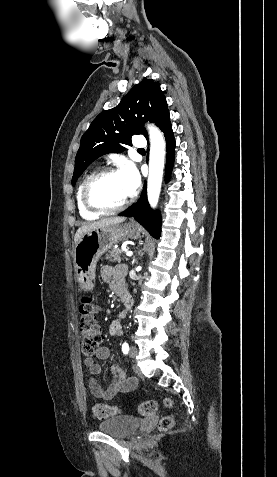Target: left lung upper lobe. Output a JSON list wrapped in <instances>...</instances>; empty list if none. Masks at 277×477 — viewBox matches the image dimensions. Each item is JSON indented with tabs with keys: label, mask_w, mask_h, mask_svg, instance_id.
Returning <instances> with one entry per match:
<instances>
[{
	"label": "left lung upper lobe",
	"mask_w": 277,
	"mask_h": 477,
	"mask_svg": "<svg viewBox=\"0 0 277 477\" xmlns=\"http://www.w3.org/2000/svg\"><path fill=\"white\" fill-rule=\"evenodd\" d=\"M154 122L160 129L170 121L168 105L158 82L143 80L134 86L119 105L100 113L81 138L72 177L74 186L85 169L98 157L121 152V145H131V137L143 134L145 121Z\"/></svg>",
	"instance_id": "1"
}]
</instances>
